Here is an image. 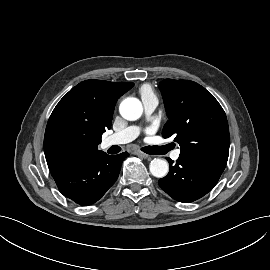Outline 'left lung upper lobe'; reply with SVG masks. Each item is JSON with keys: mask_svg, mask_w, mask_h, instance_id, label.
Returning a JSON list of instances; mask_svg holds the SVG:
<instances>
[{"mask_svg": "<svg viewBox=\"0 0 270 270\" xmlns=\"http://www.w3.org/2000/svg\"><path fill=\"white\" fill-rule=\"evenodd\" d=\"M168 122L162 135L175 136L180 155L227 164L229 128L226 114L204 87L190 80L165 79L160 85Z\"/></svg>", "mask_w": 270, "mask_h": 270, "instance_id": "obj_1", "label": "left lung upper lobe"}]
</instances>
